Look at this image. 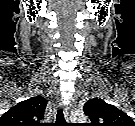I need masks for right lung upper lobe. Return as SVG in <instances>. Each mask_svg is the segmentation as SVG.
Returning a JSON list of instances; mask_svg holds the SVG:
<instances>
[{
	"instance_id": "right-lung-upper-lobe-1",
	"label": "right lung upper lobe",
	"mask_w": 135,
	"mask_h": 126,
	"mask_svg": "<svg viewBox=\"0 0 135 126\" xmlns=\"http://www.w3.org/2000/svg\"><path fill=\"white\" fill-rule=\"evenodd\" d=\"M47 102L38 95L18 103L0 117V126H39Z\"/></svg>"
}]
</instances>
